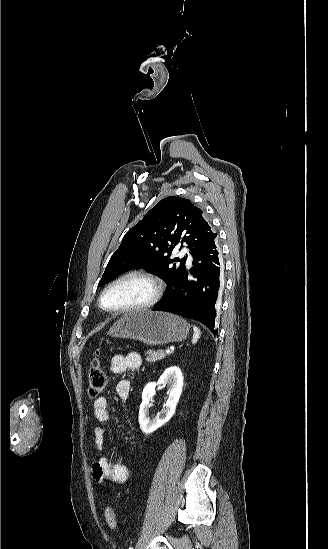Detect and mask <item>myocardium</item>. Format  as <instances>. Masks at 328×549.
<instances>
[{
  "mask_svg": "<svg viewBox=\"0 0 328 549\" xmlns=\"http://www.w3.org/2000/svg\"><path fill=\"white\" fill-rule=\"evenodd\" d=\"M140 277L145 279L151 286V294L150 296L143 302L129 305L126 307L121 308H111L107 307L104 303V297L107 294L109 290H111L114 286H116L118 283L123 281L124 279L128 277ZM163 281L162 279L157 276L155 273L150 271L148 267L145 266H134L131 267L118 276H116L113 280H111L108 284L105 285L103 290L101 291L98 299V306L100 311L103 313H106L111 316H125V315H131L134 313H141V312H147L150 310H153L160 300L162 293H163Z\"/></svg>",
  "mask_w": 328,
  "mask_h": 549,
  "instance_id": "obj_1",
  "label": "myocardium"
}]
</instances>
